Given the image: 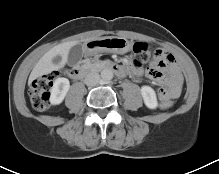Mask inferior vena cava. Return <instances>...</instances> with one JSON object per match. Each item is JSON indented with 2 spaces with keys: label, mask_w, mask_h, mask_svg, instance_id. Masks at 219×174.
<instances>
[{
  "label": "inferior vena cava",
  "mask_w": 219,
  "mask_h": 174,
  "mask_svg": "<svg viewBox=\"0 0 219 174\" xmlns=\"http://www.w3.org/2000/svg\"><path fill=\"white\" fill-rule=\"evenodd\" d=\"M99 81H100V75L96 72L88 73L84 79V83L87 86H95L99 83Z\"/></svg>",
  "instance_id": "obj_1"
}]
</instances>
